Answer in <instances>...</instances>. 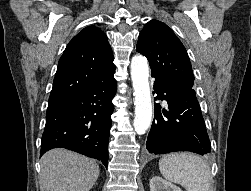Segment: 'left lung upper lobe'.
Segmentation results:
<instances>
[{
	"label": "left lung upper lobe",
	"instance_id": "1",
	"mask_svg": "<svg viewBox=\"0 0 251 191\" xmlns=\"http://www.w3.org/2000/svg\"><path fill=\"white\" fill-rule=\"evenodd\" d=\"M136 48L147 57L155 76L176 86L193 88L194 75L187 51L166 24L149 21L139 34Z\"/></svg>",
	"mask_w": 251,
	"mask_h": 191
}]
</instances>
